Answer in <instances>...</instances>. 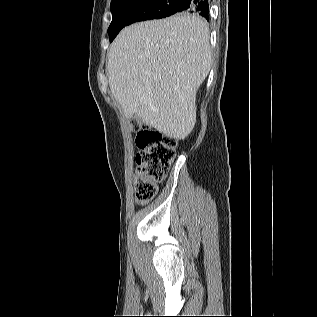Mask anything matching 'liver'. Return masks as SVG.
Returning <instances> with one entry per match:
<instances>
[{
  "instance_id": "1",
  "label": "liver",
  "mask_w": 317,
  "mask_h": 317,
  "mask_svg": "<svg viewBox=\"0 0 317 317\" xmlns=\"http://www.w3.org/2000/svg\"><path fill=\"white\" fill-rule=\"evenodd\" d=\"M212 65L208 24L175 15L125 27L108 53L109 87L124 115L174 139L196 122V93Z\"/></svg>"
}]
</instances>
